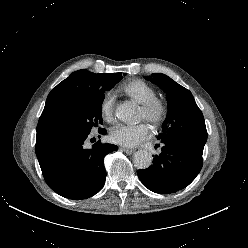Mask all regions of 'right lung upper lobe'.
<instances>
[{
  "label": "right lung upper lobe",
  "instance_id": "cb5924a9",
  "mask_svg": "<svg viewBox=\"0 0 248 248\" xmlns=\"http://www.w3.org/2000/svg\"><path fill=\"white\" fill-rule=\"evenodd\" d=\"M89 73L92 72L82 69L72 73L67 79L59 83L49 93L42 115L51 110L81 101L85 97L92 80V75Z\"/></svg>",
  "mask_w": 248,
  "mask_h": 248
}]
</instances>
